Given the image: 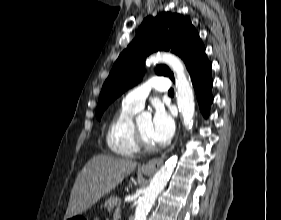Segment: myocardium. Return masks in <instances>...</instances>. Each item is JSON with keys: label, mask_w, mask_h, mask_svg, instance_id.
Segmentation results:
<instances>
[{"label": "myocardium", "mask_w": 281, "mask_h": 220, "mask_svg": "<svg viewBox=\"0 0 281 220\" xmlns=\"http://www.w3.org/2000/svg\"><path fill=\"white\" fill-rule=\"evenodd\" d=\"M133 137H134V141L136 143V145L138 146V148L140 150L143 151H154L156 150L157 146L148 143L142 136L141 132L138 129V126L136 124H134L133 126Z\"/></svg>", "instance_id": "obj_1"}]
</instances>
